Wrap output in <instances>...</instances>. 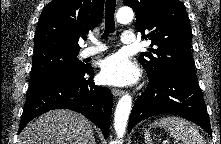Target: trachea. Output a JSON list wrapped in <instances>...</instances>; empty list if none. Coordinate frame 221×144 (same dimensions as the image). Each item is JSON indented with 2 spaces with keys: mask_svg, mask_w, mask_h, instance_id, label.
Returning a JSON list of instances; mask_svg holds the SVG:
<instances>
[{
  "mask_svg": "<svg viewBox=\"0 0 221 144\" xmlns=\"http://www.w3.org/2000/svg\"><path fill=\"white\" fill-rule=\"evenodd\" d=\"M116 0H106L105 6V31L102 35V39H105L110 33L115 31V14Z\"/></svg>",
  "mask_w": 221,
  "mask_h": 144,
  "instance_id": "obj_1",
  "label": "trachea"
}]
</instances>
